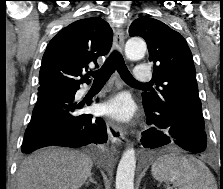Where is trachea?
<instances>
[{"label": "trachea", "mask_w": 223, "mask_h": 189, "mask_svg": "<svg viewBox=\"0 0 223 189\" xmlns=\"http://www.w3.org/2000/svg\"><path fill=\"white\" fill-rule=\"evenodd\" d=\"M115 69L118 70L121 77L128 83L137 84V85H148L147 83L137 82L132 74L127 69L125 62L119 52L114 51L108 59L105 61L103 66L94 72L89 74L94 78L96 83H105L109 80L110 76L113 74Z\"/></svg>", "instance_id": "1"}]
</instances>
